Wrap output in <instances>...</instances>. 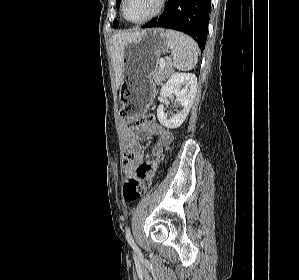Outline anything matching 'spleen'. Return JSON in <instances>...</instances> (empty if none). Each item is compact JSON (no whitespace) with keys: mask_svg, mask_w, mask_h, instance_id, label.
Returning a JSON list of instances; mask_svg holds the SVG:
<instances>
[{"mask_svg":"<svg viewBox=\"0 0 299 280\" xmlns=\"http://www.w3.org/2000/svg\"><path fill=\"white\" fill-rule=\"evenodd\" d=\"M173 60V66L182 71L192 70L198 60V45L189 36L167 29L165 31Z\"/></svg>","mask_w":299,"mask_h":280,"instance_id":"obj_1","label":"spleen"}]
</instances>
